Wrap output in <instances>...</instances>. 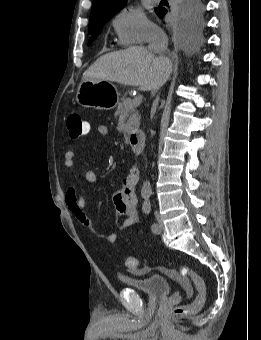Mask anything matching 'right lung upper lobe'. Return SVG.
<instances>
[{
	"label": "right lung upper lobe",
	"mask_w": 261,
	"mask_h": 340,
	"mask_svg": "<svg viewBox=\"0 0 261 340\" xmlns=\"http://www.w3.org/2000/svg\"><path fill=\"white\" fill-rule=\"evenodd\" d=\"M125 4L126 0H93L89 23L113 17Z\"/></svg>",
	"instance_id": "cb5924a9"
}]
</instances>
